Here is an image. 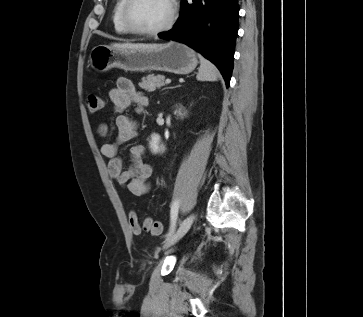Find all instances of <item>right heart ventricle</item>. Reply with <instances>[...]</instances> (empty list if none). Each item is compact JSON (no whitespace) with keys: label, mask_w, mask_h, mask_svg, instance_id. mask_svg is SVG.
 I'll return each mask as SVG.
<instances>
[{"label":"right heart ventricle","mask_w":363,"mask_h":317,"mask_svg":"<svg viewBox=\"0 0 363 317\" xmlns=\"http://www.w3.org/2000/svg\"><path fill=\"white\" fill-rule=\"evenodd\" d=\"M125 0H116L112 10V24L116 33L121 35L129 34L122 21V8Z\"/></svg>","instance_id":"right-heart-ventricle-1"}]
</instances>
